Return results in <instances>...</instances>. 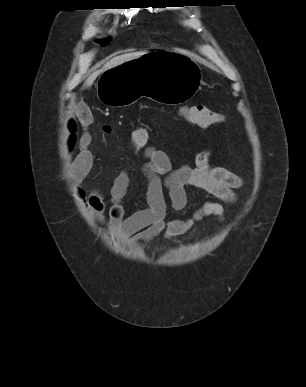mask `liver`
Wrapping results in <instances>:
<instances>
[{
	"label": "liver",
	"mask_w": 306,
	"mask_h": 387,
	"mask_svg": "<svg viewBox=\"0 0 306 387\" xmlns=\"http://www.w3.org/2000/svg\"><path fill=\"white\" fill-rule=\"evenodd\" d=\"M147 54V52L143 51V52H133V53H126V54H122V55H119V56H116L114 58H112L110 61H108L102 70H99V71H96L94 73H92L88 78L87 80L85 81V84L84 86L86 87H89L93 84V82L95 81L96 77L99 75L100 72L102 71H106V70H109V69H112L116 66H119L125 62H128V61H131V60H135L143 55Z\"/></svg>",
	"instance_id": "1"
}]
</instances>
